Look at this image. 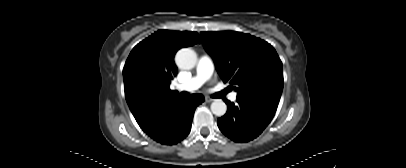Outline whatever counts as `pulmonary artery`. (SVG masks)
Segmentation results:
<instances>
[{"mask_svg":"<svg viewBox=\"0 0 406 168\" xmlns=\"http://www.w3.org/2000/svg\"><path fill=\"white\" fill-rule=\"evenodd\" d=\"M213 71L214 64L212 58L208 54H203L199 58L195 75L188 80L177 84L176 89L179 91L193 92L199 89L208 79H210ZM236 98V92L230 94V99L232 101H235Z\"/></svg>","mask_w":406,"mask_h":168,"instance_id":"pulmonary-artery-1","label":"pulmonary artery"}]
</instances>
